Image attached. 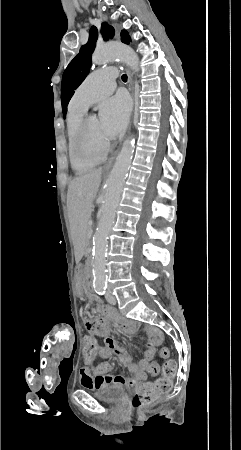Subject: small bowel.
<instances>
[{
    "mask_svg": "<svg viewBox=\"0 0 241 450\" xmlns=\"http://www.w3.org/2000/svg\"><path fill=\"white\" fill-rule=\"evenodd\" d=\"M87 306L92 304L90 299L85 301ZM83 318H90L92 312L90 309H83L81 312ZM86 328L89 331H96L95 334H99L104 338V346L99 347V356L107 358L111 353L118 356L119 362L128 368L131 376L126 377L119 374H110L111 366L107 362H103L99 365L95 364L94 361H85V367L81 369V384L87 389H108L112 386L121 387H136L143 381H145L148 376V368L155 355L156 347L159 346L164 339L163 332L150 325L143 324L139 321L128 319L124 320L116 326L126 335H134L138 331H143L147 336V345L143 351L142 358L136 364L133 362L132 357L129 355L128 351L119 346L118 343L113 339L109 333L110 326L105 320H90L85 323ZM93 338V337H92ZM94 339V338H93ZM94 342L95 339H94Z\"/></svg>",
    "mask_w": 241,
    "mask_h": 450,
    "instance_id": "1",
    "label": "small bowel"
}]
</instances>
